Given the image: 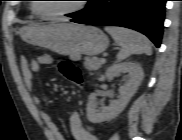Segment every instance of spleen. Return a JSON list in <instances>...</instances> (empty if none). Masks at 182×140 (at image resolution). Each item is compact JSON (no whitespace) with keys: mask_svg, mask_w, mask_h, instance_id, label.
Segmentation results:
<instances>
[{"mask_svg":"<svg viewBox=\"0 0 182 140\" xmlns=\"http://www.w3.org/2000/svg\"><path fill=\"white\" fill-rule=\"evenodd\" d=\"M114 41L121 46L117 60L121 61L132 54L151 55L152 49L149 40L142 34L123 27H105Z\"/></svg>","mask_w":182,"mask_h":140,"instance_id":"obj_1","label":"spleen"}]
</instances>
